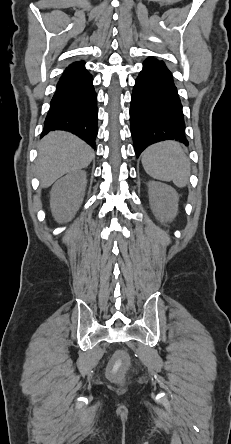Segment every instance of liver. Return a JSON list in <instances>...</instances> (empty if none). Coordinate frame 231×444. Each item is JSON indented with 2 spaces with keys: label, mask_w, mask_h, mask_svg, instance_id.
<instances>
[{
  "label": "liver",
  "mask_w": 231,
  "mask_h": 444,
  "mask_svg": "<svg viewBox=\"0 0 231 444\" xmlns=\"http://www.w3.org/2000/svg\"><path fill=\"white\" fill-rule=\"evenodd\" d=\"M36 174L41 187L51 186L64 174L87 167L94 158L93 149L77 136L63 131L50 132L38 146Z\"/></svg>",
  "instance_id": "obj_1"
}]
</instances>
